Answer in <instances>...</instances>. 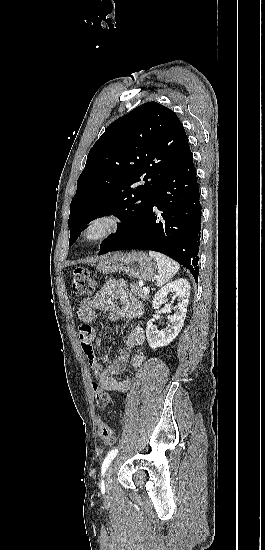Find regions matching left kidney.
<instances>
[{"label": "left kidney", "mask_w": 265, "mask_h": 550, "mask_svg": "<svg viewBox=\"0 0 265 550\" xmlns=\"http://www.w3.org/2000/svg\"><path fill=\"white\" fill-rule=\"evenodd\" d=\"M174 293V299H177L178 304L175 307L176 311L168 315L169 324L161 331L153 324L150 319L147 322L146 337L151 348L164 347L170 344L181 331L186 317L187 306L190 297V285L186 279H177L168 283L155 294L152 306L158 308L167 303V296Z\"/></svg>", "instance_id": "5707ae66"}]
</instances>
